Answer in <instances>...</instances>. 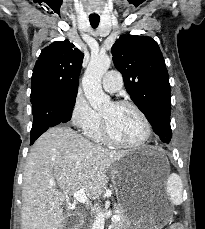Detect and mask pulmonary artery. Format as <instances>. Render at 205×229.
I'll return each instance as SVG.
<instances>
[{
    "instance_id": "pulmonary-artery-1",
    "label": "pulmonary artery",
    "mask_w": 205,
    "mask_h": 229,
    "mask_svg": "<svg viewBox=\"0 0 205 229\" xmlns=\"http://www.w3.org/2000/svg\"><path fill=\"white\" fill-rule=\"evenodd\" d=\"M103 88L110 93L117 92L122 86V76L116 70L108 71L102 79Z\"/></svg>"
}]
</instances>
